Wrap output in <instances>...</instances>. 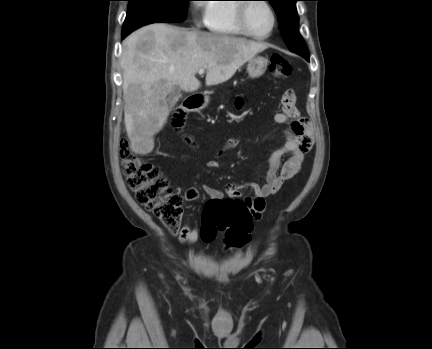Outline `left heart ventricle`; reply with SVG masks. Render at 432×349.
I'll return each instance as SVG.
<instances>
[{
    "label": "left heart ventricle",
    "instance_id": "b2bd125f",
    "mask_svg": "<svg viewBox=\"0 0 432 349\" xmlns=\"http://www.w3.org/2000/svg\"><path fill=\"white\" fill-rule=\"evenodd\" d=\"M247 23L250 30L257 35L268 33L272 26V15L263 3H254L247 12Z\"/></svg>",
    "mask_w": 432,
    "mask_h": 349
}]
</instances>
